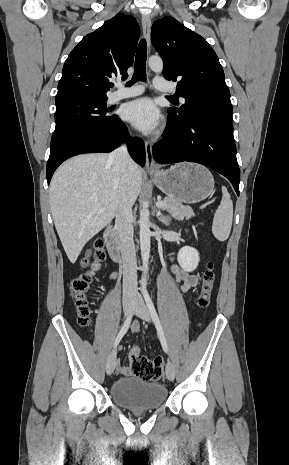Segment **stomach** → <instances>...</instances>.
Returning a JSON list of instances; mask_svg holds the SVG:
<instances>
[{
	"label": "stomach",
	"instance_id": "1",
	"mask_svg": "<svg viewBox=\"0 0 289 465\" xmlns=\"http://www.w3.org/2000/svg\"><path fill=\"white\" fill-rule=\"evenodd\" d=\"M157 187L168 197L193 204L206 199L214 189L210 171L195 163H178L167 170L150 173Z\"/></svg>",
	"mask_w": 289,
	"mask_h": 465
}]
</instances>
